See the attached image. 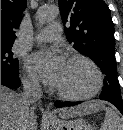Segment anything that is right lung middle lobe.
Instances as JSON below:
<instances>
[{
    "mask_svg": "<svg viewBox=\"0 0 123 130\" xmlns=\"http://www.w3.org/2000/svg\"><path fill=\"white\" fill-rule=\"evenodd\" d=\"M11 45H1V70L19 75V62L13 58Z\"/></svg>",
    "mask_w": 123,
    "mask_h": 130,
    "instance_id": "obj_1",
    "label": "right lung middle lobe"
}]
</instances>
